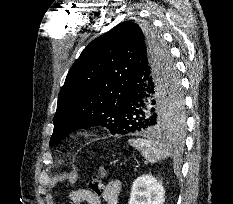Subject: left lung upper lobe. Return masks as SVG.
<instances>
[{
	"mask_svg": "<svg viewBox=\"0 0 233 204\" xmlns=\"http://www.w3.org/2000/svg\"><path fill=\"white\" fill-rule=\"evenodd\" d=\"M164 53L169 74L175 71L163 40L151 27L124 21L90 42L69 70L54 116L50 147L69 133L102 125L112 134H122L117 125L120 101L127 90L139 50ZM161 130H177L185 121L180 84L169 87L157 109Z\"/></svg>",
	"mask_w": 233,
	"mask_h": 204,
	"instance_id": "obj_1",
	"label": "left lung upper lobe"
}]
</instances>
